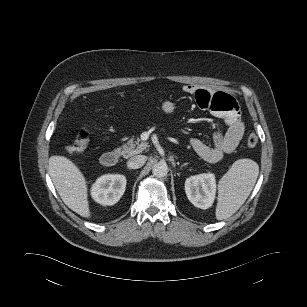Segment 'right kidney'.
<instances>
[{
	"label": "right kidney",
	"mask_w": 307,
	"mask_h": 307,
	"mask_svg": "<svg viewBox=\"0 0 307 307\" xmlns=\"http://www.w3.org/2000/svg\"><path fill=\"white\" fill-rule=\"evenodd\" d=\"M126 177L121 174H105L92 185L91 196L101 205H114L125 192Z\"/></svg>",
	"instance_id": "ca27d5eb"
}]
</instances>
